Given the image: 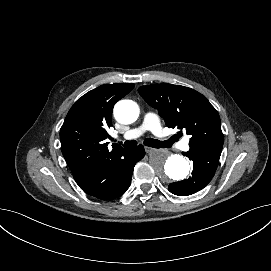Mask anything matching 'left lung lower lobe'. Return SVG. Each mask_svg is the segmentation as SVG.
Returning a JSON list of instances; mask_svg holds the SVG:
<instances>
[{
  "mask_svg": "<svg viewBox=\"0 0 271 271\" xmlns=\"http://www.w3.org/2000/svg\"><path fill=\"white\" fill-rule=\"evenodd\" d=\"M186 155L194 164L191 176L168 186V190L178 196H188L203 189L213 178L221 154L214 155L206 147H200L190 148Z\"/></svg>",
  "mask_w": 271,
  "mask_h": 271,
  "instance_id": "1",
  "label": "left lung lower lobe"
}]
</instances>
